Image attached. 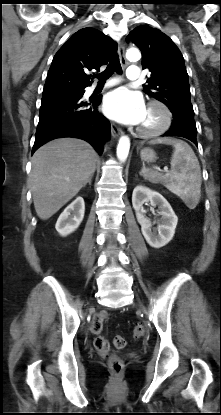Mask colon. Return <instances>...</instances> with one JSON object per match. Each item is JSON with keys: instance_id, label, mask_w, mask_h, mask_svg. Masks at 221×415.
Wrapping results in <instances>:
<instances>
[{"instance_id": "5ec220e1", "label": "colon", "mask_w": 221, "mask_h": 415, "mask_svg": "<svg viewBox=\"0 0 221 415\" xmlns=\"http://www.w3.org/2000/svg\"><path fill=\"white\" fill-rule=\"evenodd\" d=\"M108 317V313L102 311L96 314L91 322L90 329L93 333L97 334L98 336L94 340L95 348L100 352H106L109 349V341L101 335L103 330V322ZM133 334L135 338H141L146 334V328L142 324H138L135 326L133 330ZM114 345L118 349H123L126 346V340L122 336H116L114 338ZM109 368L115 376H119L123 370V361L122 359L117 356L113 355L109 358Z\"/></svg>"}]
</instances>
